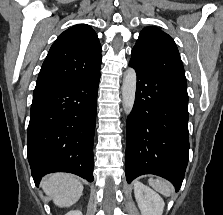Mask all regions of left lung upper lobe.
Here are the masks:
<instances>
[{
    "mask_svg": "<svg viewBox=\"0 0 223 215\" xmlns=\"http://www.w3.org/2000/svg\"><path fill=\"white\" fill-rule=\"evenodd\" d=\"M129 64L138 71L187 88L184 67L175 42L156 27H146L140 32Z\"/></svg>",
    "mask_w": 223,
    "mask_h": 215,
    "instance_id": "obj_1",
    "label": "left lung upper lobe"
}]
</instances>
